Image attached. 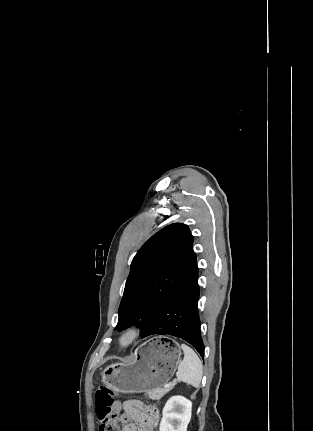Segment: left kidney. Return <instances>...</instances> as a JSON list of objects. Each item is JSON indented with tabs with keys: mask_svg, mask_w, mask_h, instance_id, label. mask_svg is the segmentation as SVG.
<instances>
[{
	"mask_svg": "<svg viewBox=\"0 0 313 431\" xmlns=\"http://www.w3.org/2000/svg\"><path fill=\"white\" fill-rule=\"evenodd\" d=\"M192 402L183 396H173L165 404L159 431H187Z\"/></svg>",
	"mask_w": 313,
	"mask_h": 431,
	"instance_id": "obj_1",
	"label": "left kidney"
}]
</instances>
